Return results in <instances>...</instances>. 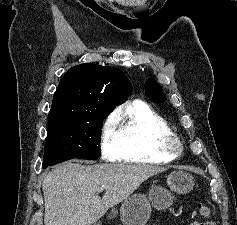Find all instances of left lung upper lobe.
<instances>
[{
	"mask_svg": "<svg viewBox=\"0 0 237 225\" xmlns=\"http://www.w3.org/2000/svg\"><path fill=\"white\" fill-rule=\"evenodd\" d=\"M145 92L150 99L155 102H164L166 95L162 91V88L156 83L154 79H148L145 82Z\"/></svg>",
	"mask_w": 237,
	"mask_h": 225,
	"instance_id": "obj_1",
	"label": "left lung upper lobe"
}]
</instances>
